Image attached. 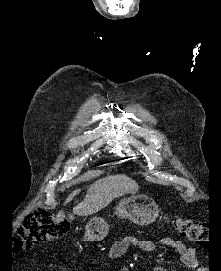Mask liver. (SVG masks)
Returning <instances> with one entry per match:
<instances>
[{
  "label": "liver",
  "mask_w": 221,
  "mask_h": 271,
  "mask_svg": "<svg viewBox=\"0 0 221 271\" xmlns=\"http://www.w3.org/2000/svg\"><path fill=\"white\" fill-rule=\"evenodd\" d=\"M118 181L119 175H113V177H104V179H98L96 183H92L83 201L73 207L74 213H78V215H92V213H97V211L106 207L108 203H111L114 197H118L121 193H125V191H117V193L113 191L112 187H114ZM78 191H80V189H75L73 193H70L67 201L72 199L73 195H76ZM64 217L63 211H59L54 221L60 223Z\"/></svg>",
  "instance_id": "liver-1"
}]
</instances>
